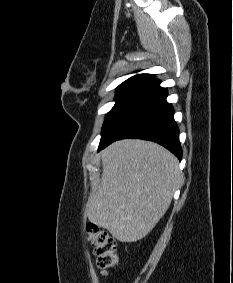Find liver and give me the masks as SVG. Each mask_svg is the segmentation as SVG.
<instances>
[{
    "label": "liver",
    "mask_w": 233,
    "mask_h": 283,
    "mask_svg": "<svg viewBox=\"0 0 233 283\" xmlns=\"http://www.w3.org/2000/svg\"><path fill=\"white\" fill-rule=\"evenodd\" d=\"M103 172L87 217L120 242H136L168 210L180 180L178 159L163 146L119 140L101 152Z\"/></svg>",
    "instance_id": "obj_1"
}]
</instances>
